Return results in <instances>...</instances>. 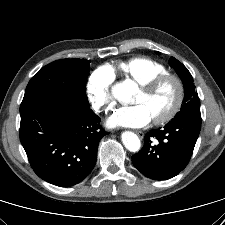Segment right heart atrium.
<instances>
[{
    "label": "right heart atrium",
    "mask_w": 225,
    "mask_h": 225,
    "mask_svg": "<svg viewBox=\"0 0 225 225\" xmlns=\"http://www.w3.org/2000/svg\"><path fill=\"white\" fill-rule=\"evenodd\" d=\"M115 74L108 66L96 69L89 76L86 90L88 100L96 112H107L113 105V83Z\"/></svg>",
    "instance_id": "1"
}]
</instances>
